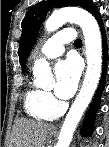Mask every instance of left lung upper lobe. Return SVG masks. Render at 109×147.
<instances>
[{"label":"left lung upper lobe","mask_w":109,"mask_h":147,"mask_svg":"<svg viewBox=\"0 0 109 147\" xmlns=\"http://www.w3.org/2000/svg\"><path fill=\"white\" fill-rule=\"evenodd\" d=\"M80 6L89 12L95 7L92 0H50L41 1L33 5L25 15L21 27L22 35L19 45V60L22 68H25L27 57L30 54L37 39L39 28L44 21L47 12L53 7Z\"/></svg>","instance_id":"5c2ea615"}]
</instances>
